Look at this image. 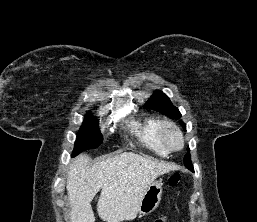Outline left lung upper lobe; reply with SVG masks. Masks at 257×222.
<instances>
[{"label":"left lung upper lobe","mask_w":257,"mask_h":222,"mask_svg":"<svg viewBox=\"0 0 257 222\" xmlns=\"http://www.w3.org/2000/svg\"><path fill=\"white\" fill-rule=\"evenodd\" d=\"M146 107L158 111L169 118L179 119L181 114L179 110L171 103L170 99L161 91L154 92L153 96L146 102ZM184 130H186V125L181 122ZM189 151V148H188ZM184 165L188 169H193L191 162V155L188 153L184 157Z\"/></svg>","instance_id":"left-lung-upper-lobe-1"}]
</instances>
